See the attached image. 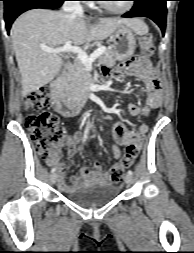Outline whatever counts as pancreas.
Listing matches in <instances>:
<instances>
[{
  "label": "pancreas",
  "mask_w": 194,
  "mask_h": 253,
  "mask_svg": "<svg viewBox=\"0 0 194 253\" xmlns=\"http://www.w3.org/2000/svg\"><path fill=\"white\" fill-rule=\"evenodd\" d=\"M116 62L113 48L105 49V52L100 55L99 63L106 66H113ZM91 82V76L87 67L77 61L68 71L64 80V90L66 96L71 100H76L86 93L87 87Z\"/></svg>",
  "instance_id": "obj_1"
}]
</instances>
